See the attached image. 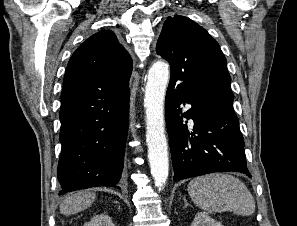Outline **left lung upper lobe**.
<instances>
[{"mask_svg":"<svg viewBox=\"0 0 297 226\" xmlns=\"http://www.w3.org/2000/svg\"><path fill=\"white\" fill-rule=\"evenodd\" d=\"M156 52L169 62L171 80L191 91L233 97L219 44L189 18L175 15L165 21Z\"/></svg>","mask_w":297,"mask_h":226,"instance_id":"1","label":"left lung upper lobe"}]
</instances>
